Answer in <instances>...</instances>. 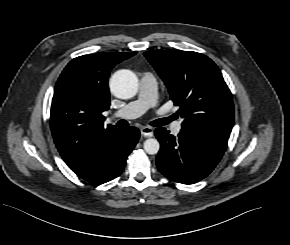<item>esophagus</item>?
<instances>
[{"mask_svg": "<svg viewBox=\"0 0 290 245\" xmlns=\"http://www.w3.org/2000/svg\"><path fill=\"white\" fill-rule=\"evenodd\" d=\"M141 135L144 137H152L154 135L153 128L149 126H144L140 129Z\"/></svg>", "mask_w": 290, "mask_h": 245, "instance_id": "1", "label": "esophagus"}]
</instances>
